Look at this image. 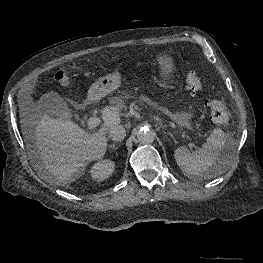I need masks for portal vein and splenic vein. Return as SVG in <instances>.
<instances>
[{
  "label": "portal vein and splenic vein",
  "mask_w": 263,
  "mask_h": 263,
  "mask_svg": "<svg viewBox=\"0 0 263 263\" xmlns=\"http://www.w3.org/2000/svg\"><path fill=\"white\" fill-rule=\"evenodd\" d=\"M100 123H101V119L100 118H98V117H91L88 120V128L89 129H93V128L99 126ZM189 145L191 147H195L196 148V146H194L192 143H190Z\"/></svg>",
  "instance_id": "1"
}]
</instances>
